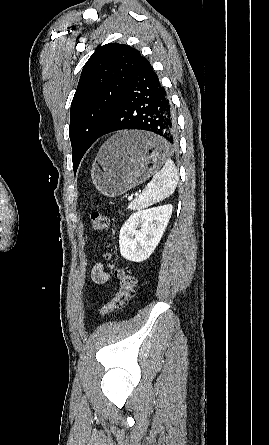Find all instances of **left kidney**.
I'll list each match as a JSON object with an SVG mask.
<instances>
[{"instance_id": "obj_1", "label": "left kidney", "mask_w": 269, "mask_h": 445, "mask_svg": "<svg viewBox=\"0 0 269 445\" xmlns=\"http://www.w3.org/2000/svg\"><path fill=\"white\" fill-rule=\"evenodd\" d=\"M172 210L168 204L132 214L120 230L121 255L133 262L149 258L164 234Z\"/></svg>"}]
</instances>
